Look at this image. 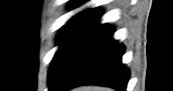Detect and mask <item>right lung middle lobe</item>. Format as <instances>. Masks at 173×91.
<instances>
[{"label": "right lung middle lobe", "mask_w": 173, "mask_h": 91, "mask_svg": "<svg viewBox=\"0 0 173 91\" xmlns=\"http://www.w3.org/2000/svg\"><path fill=\"white\" fill-rule=\"evenodd\" d=\"M83 26L84 25L81 24L67 23L58 34L57 41L61 46L51 62L49 69V78L53 75L58 62L66 51L68 45Z\"/></svg>", "instance_id": "right-lung-middle-lobe-1"}]
</instances>
